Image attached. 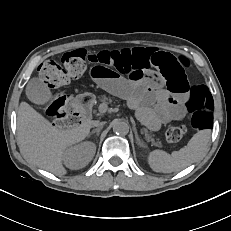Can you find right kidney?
<instances>
[{"mask_svg":"<svg viewBox=\"0 0 231 231\" xmlns=\"http://www.w3.org/2000/svg\"><path fill=\"white\" fill-rule=\"evenodd\" d=\"M96 152L95 144L83 142L69 148L64 154V164L70 169H80L85 167L94 157Z\"/></svg>","mask_w":231,"mask_h":231,"instance_id":"1","label":"right kidney"}]
</instances>
